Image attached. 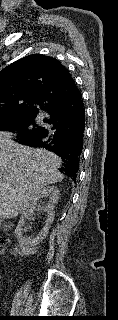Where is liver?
<instances>
[{
  "mask_svg": "<svg viewBox=\"0 0 118 320\" xmlns=\"http://www.w3.org/2000/svg\"><path fill=\"white\" fill-rule=\"evenodd\" d=\"M62 160L42 148H30L0 132V217L13 218L27 209L44 186L62 181Z\"/></svg>",
  "mask_w": 118,
  "mask_h": 320,
  "instance_id": "liver-1",
  "label": "liver"
}]
</instances>
